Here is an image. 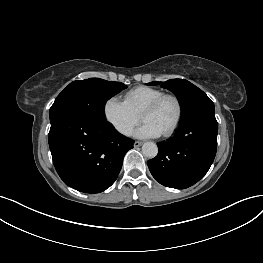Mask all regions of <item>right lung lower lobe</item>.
Instances as JSON below:
<instances>
[{"mask_svg": "<svg viewBox=\"0 0 263 263\" xmlns=\"http://www.w3.org/2000/svg\"><path fill=\"white\" fill-rule=\"evenodd\" d=\"M48 141L60 178L85 193L109 188L134 144L106 120L81 115H64L52 122Z\"/></svg>", "mask_w": 263, "mask_h": 263, "instance_id": "obj_1", "label": "right lung lower lobe"}]
</instances>
